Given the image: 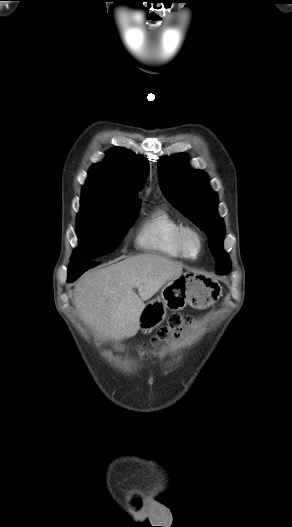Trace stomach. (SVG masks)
I'll return each instance as SVG.
<instances>
[{
    "label": "stomach",
    "instance_id": "1",
    "mask_svg": "<svg viewBox=\"0 0 292 527\" xmlns=\"http://www.w3.org/2000/svg\"><path fill=\"white\" fill-rule=\"evenodd\" d=\"M222 288L217 280L206 275L187 272L168 281L161 296L149 301L140 316V328L151 331L165 319L167 309L182 310L186 305L204 309L214 304L221 296Z\"/></svg>",
    "mask_w": 292,
    "mask_h": 527
}]
</instances>
